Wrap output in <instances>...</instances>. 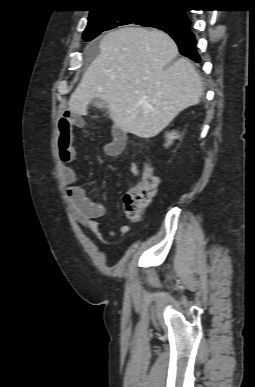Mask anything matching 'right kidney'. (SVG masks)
Masks as SVG:
<instances>
[{
  "mask_svg": "<svg viewBox=\"0 0 255 387\" xmlns=\"http://www.w3.org/2000/svg\"><path fill=\"white\" fill-rule=\"evenodd\" d=\"M166 138H167V143L165 144L166 147H168L173 140L177 139L178 138V134L174 131L166 134Z\"/></svg>",
  "mask_w": 255,
  "mask_h": 387,
  "instance_id": "ca27d5eb",
  "label": "right kidney"
}]
</instances>
